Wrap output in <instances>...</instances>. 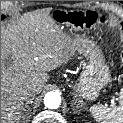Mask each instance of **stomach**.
<instances>
[{
    "label": "stomach",
    "instance_id": "obj_1",
    "mask_svg": "<svg viewBox=\"0 0 123 123\" xmlns=\"http://www.w3.org/2000/svg\"><path fill=\"white\" fill-rule=\"evenodd\" d=\"M86 13L79 10L58 9L53 13V19L59 24L67 26L71 31L79 32L87 28ZM94 23L90 24L93 26ZM86 59V64L80 77L72 88L79 96L86 100H95L101 89L111 80L109 67L101 51L94 43L87 42L79 50Z\"/></svg>",
    "mask_w": 123,
    "mask_h": 123
}]
</instances>
